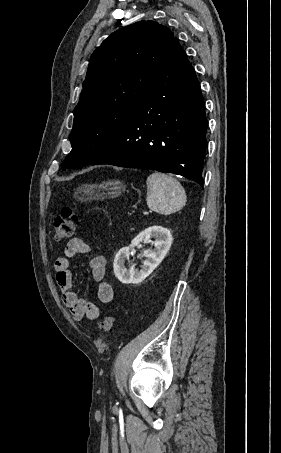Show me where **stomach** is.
Listing matches in <instances>:
<instances>
[{"instance_id":"stomach-1","label":"stomach","mask_w":281,"mask_h":453,"mask_svg":"<svg viewBox=\"0 0 281 453\" xmlns=\"http://www.w3.org/2000/svg\"><path fill=\"white\" fill-rule=\"evenodd\" d=\"M123 188V182L121 180H107L102 184H83L77 188V196L79 200H96L104 194H110L111 198L121 194Z\"/></svg>"}]
</instances>
